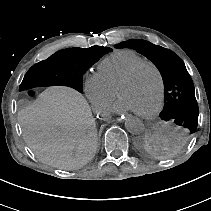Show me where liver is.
<instances>
[{"instance_id": "liver-1", "label": "liver", "mask_w": 211, "mask_h": 211, "mask_svg": "<svg viewBox=\"0 0 211 211\" xmlns=\"http://www.w3.org/2000/svg\"><path fill=\"white\" fill-rule=\"evenodd\" d=\"M28 147L43 162L61 169L85 165L97 147L95 118L86 99L65 86L46 89L18 112Z\"/></svg>"}]
</instances>
